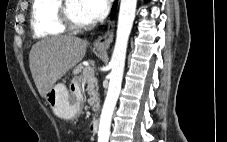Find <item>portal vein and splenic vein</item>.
Returning <instances> with one entry per match:
<instances>
[{"label": "portal vein and splenic vein", "mask_w": 227, "mask_h": 142, "mask_svg": "<svg viewBox=\"0 0 227 142\" xmlns=\"http://www.w3.org/2000/svg\"><path fill=\"white\" fill-rule=\"evenodd\" d=\"M84 74L87 76L88 79H92L94 76V73L92 70H84Z\"/></svg>", "instance_id": "portal-vein-and-splenic-vein-1"}]
</instances>
